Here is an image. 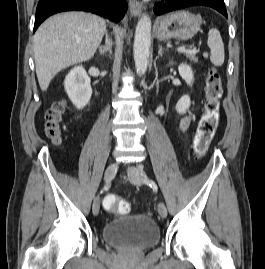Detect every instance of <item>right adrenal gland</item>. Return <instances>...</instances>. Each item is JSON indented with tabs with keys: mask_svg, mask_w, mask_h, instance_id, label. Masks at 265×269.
<instances>
[{
	"mask_svg": "<svg viewBox=\"0 0 265 269\" xmlns=\"http://www.w3.org/2000/svg\"><path fill=\"white\" fill-rule=\"evenodd\" d=\"M100 54H107L109 57L112 54V41L109 38L108 32H105V45L99 46Z\"/></svg>",
	"mask_w": 265,
	"mask_h": 269,
	"instance_id": "obj_1",
	"label": "right adrenal gland"
}]
</instances>
